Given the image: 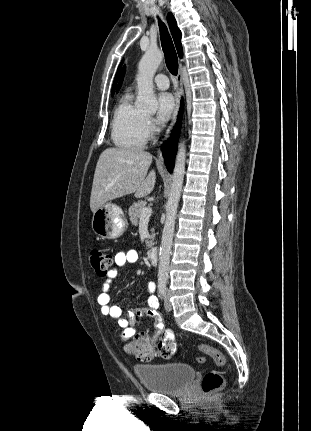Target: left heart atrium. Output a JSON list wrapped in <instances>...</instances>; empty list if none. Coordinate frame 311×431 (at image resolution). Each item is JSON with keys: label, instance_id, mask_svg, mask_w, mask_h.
I'll use <instances>...</instances> for the list:
<instances>
[{"label": "left heart atrium", "instance_id": "left-heart-atrium-1", "mask_svg": "<svg viewBox=\"0 0 311 431\" xmlns=\"http://www.w3.org/2000/svg\"><path fill=\"white\" fill-rule=\"evenodd\" d=\"M176 103L173 95L169 92L161 93L158 97V120L162 123L168 122L174 115Z\"/></svg>", "mask_w": 311, "mask_h": 431}]
</instances>
